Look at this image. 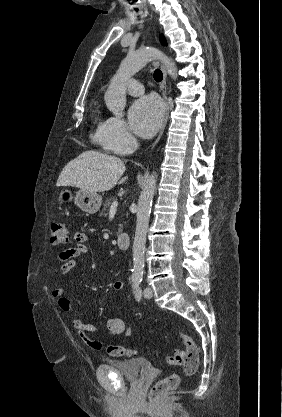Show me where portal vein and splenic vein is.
Wrapping results in <instances>:
<instances>
[{"label":"portal vein and splenic vein","instance_id":"1","mask_svg":"<svg viewBox=\"0 0 282 417\" xmlns=\"http://www.w3.org/2000/svg\"><path fill=\"white\" fill-rule=\"evenodd\" d=\"M111 210L114 213H117L120 210V207L118 206V202L117 200H113L112 204H111Z\"/></svg>","mask_w":282,"mask_h":417}]
</instances>
